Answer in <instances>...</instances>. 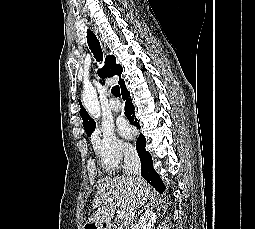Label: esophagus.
I'll use <instances>...</instances> for the list:
<instances>
[{"mask_svg": "<svg viewBox=\"0 0 255 229\" xmlns=\"http://www.w3.org/2000/svg\"><path fill=\"white\" fill-rule=\"evenodd\" d=\"M103 50L106 51V45L102 44Z\"/></svg>", "mask_w": 255, "mask_h": 229, "instance_id": "34e87169", "label": "esophagus"}]
</instances>
